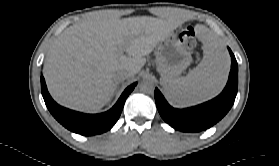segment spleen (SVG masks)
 <instances>
[{
    "instance_id": "1",
    "label": "spleen",
    "mask_w": 279,
    "mask_h": 166,
    "mask_svg": "<svg viewBox=\"0 0 279 166\" xmlns=\"http://www.w3.org/2000/svg\"><path fill=\"white\" fill-rule=\"evenodd\" d=\"M198 36L204 52L200 64L185 77L161 79L164 89L182 104H196L216 96L229 73V57L220 40L207 28H201Z\"/></svg>"
}]
</instances>
